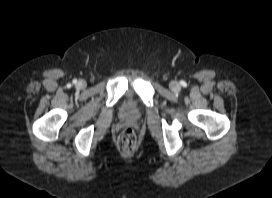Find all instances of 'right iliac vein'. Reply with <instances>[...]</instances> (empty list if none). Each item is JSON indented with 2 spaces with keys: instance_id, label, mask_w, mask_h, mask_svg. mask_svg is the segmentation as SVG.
I'll return each instance as SVG.
<instances>
[{
  "instance_id": "right-iliac-vein-1",
  "label": "right iliac vein",
  "mask_w": 272,
  "mask_h": 198,
  "mask_svg": "<svg viewBox=\"0 0 272 198\" xmlns=\"http://www.w3.org/2000/svg\"><path fill=\"white\" fill-rule=\"evenodd\" d=\"M78 86L79 87H83L84 86V82L83 81L78 82Z\"/></svg>"
}]
</instances>
